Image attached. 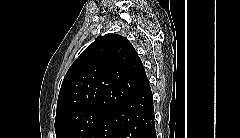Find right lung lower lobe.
I'll use <instances>...</instances> for the list:
<instances>
[{
    "label": "right lung lower lobe",
    "mask_w": 240,
    "mask_h": 138,
    "mask_svg": "<svg viewBox=\"0 0 240 138\" xmlns=\"http://www.w3.org/2000/svg\"><path fill=\"white\" fill-rule=\"evenodd\" d=\"M150 85L111 108L86 138H155Z\"/></svg>",
    "instance_id": "obj_1"
}]
</instances>
